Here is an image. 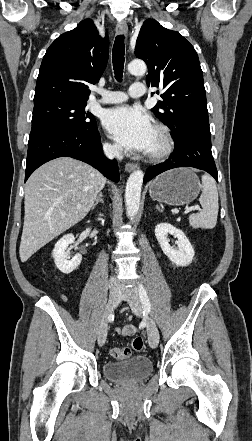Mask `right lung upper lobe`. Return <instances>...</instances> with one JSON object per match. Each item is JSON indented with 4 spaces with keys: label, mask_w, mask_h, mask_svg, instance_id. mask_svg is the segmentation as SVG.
Masks as SVG:
<instances>
[{
    "label": "right lung upper lobe",
    "mask_w": 252,
    "mask_h": 441,
    "mask_svg": "<svg viewBox=\"0 0 252 441\" xmlns=\"http://www.w3.org/2000/svg\"><path fill=\"white\" fill-rule=\"evenodd\" d=\"M108 39L100 37L91 19L60 35L43 57L34 104L49 100L87 101L108 61Z\"/></svg>",
    "instance_id": "obj_1"
}]
</instances>
